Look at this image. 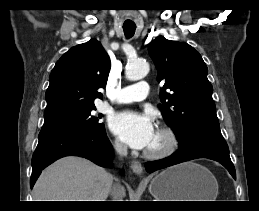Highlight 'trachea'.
Returning a JSON list of instances; mask_svg holds the SVG:
<instances>
[{
  "label": "trachea",
  "instance_id": "3493384b",
  "mask_svg": "<svg viewBox=\"0 0 259 211\" xmlns=\"http://www.w3.org/2000/svg\"><path fill=\"white\" fill-rule=\"evenodd\" d=\"M123 30L126 38H131L136 30V25H123Z\"/></svg>",
  "mask_w": 259,
  "mask_h": 211
}]
</instances>
